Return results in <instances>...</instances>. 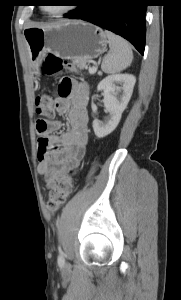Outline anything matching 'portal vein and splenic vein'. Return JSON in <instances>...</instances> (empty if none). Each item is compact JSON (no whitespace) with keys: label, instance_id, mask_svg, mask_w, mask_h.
<instances>
[{"label":"portal vein and splenic vein","instance_id":"portal-vein-and-splenic-vein-1","mask_svg":"<svg viewBox=\"0 0 181 300\" xmlns=\"http://www.w3.org/2000/svg\"><path fill=\"white\" fill-rule=\"evenodd\" d=\"M96 71H97V67H91V68L89 69V73H90L91 75L95 74Z\"/></svg>","mask_w":181,"mask_h":300}]
</instances>
